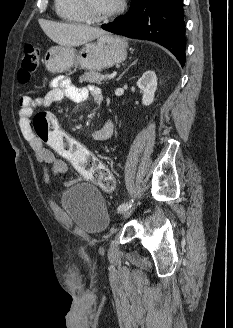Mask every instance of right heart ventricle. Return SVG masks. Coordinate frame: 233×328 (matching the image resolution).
Instances as JSON below:
<instances>
[{"label":"right heart ventricle","instance_id":"obj_1","mask_svg":"<svg viewBox=\"0 0 233 328\" xmlns=\"http://www.w3.org/2000/svg\"><path fill=\"white\" fill-rule=\"evenodd\" d=\"M58 16L68 22H85V15L80 7L79 0H55Z\"/></svg>","mask_w":233,"mask_h":328}]
</instances>
